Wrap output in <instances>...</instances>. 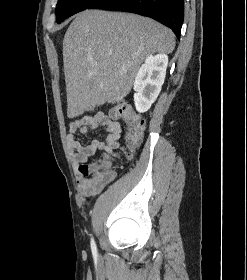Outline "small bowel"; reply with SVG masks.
Masks as SVG:
<instances>
[{"label":"small bowel","instance_id":"small-bowel-1","mask_svg":"<svg viewBox=\"0 0 247 280\" xmlns=\"http://www.w3.org/2000/svg\"><path fill=\"white\" fill-rule=\"evenodd\" d=\"M98 127H102L106 131L105 141L93 140L90 144L83 145L78 140V133H86L88 129ZM121 132L120 123L101 112L94 116H85L71 122L67 138L68 145L75 170L76 184L84 196L91 197L100 193L114 179V172L111 173L108 179H97L85 173L83 168L95 156L97 150H102L106 154L113 153L119 147L118 140Z\"/></svg>","mask_w":247,"mask_h":280}]
</instances>
